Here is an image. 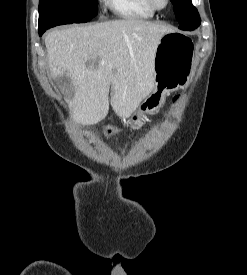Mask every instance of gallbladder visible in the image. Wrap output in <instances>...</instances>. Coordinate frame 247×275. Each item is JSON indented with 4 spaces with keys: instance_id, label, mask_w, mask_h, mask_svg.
Instances as JSON below:
<instances>
[{
    "instance_id": "bac80fb5",
    "label": "gallbladder",
    "mask_w": 247,
    "mask_h": 275,
    "mask_svg": "<svg viewBox=\"0 0 247 275\" xmlns=\"http://www.w3.org/2000/svg\"><path fill=\"white\" fill-rule=\"evenodd\" d=\"M55 81L61 89H71V79L67 75L58 76Z\"/></svg>"
}]
</instances>
